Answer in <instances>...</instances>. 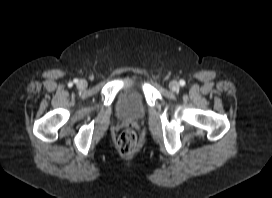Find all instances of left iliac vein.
<instances>
[{
    "label": "left iliac vein",
    "mask_w": 272,
    "mask_h": 198,
    "mask_svg": "<svg viewBox=\"0 0 272 198\" xmlns=\"http://www.w3.org/2000/svg\"><path fill=\"white\" fill-rule=\"evenodd\" d=\"M169 87L172 91H178L180 89V85L177 81L173 80L169 83Z\"/></svg>",
    "instance_id": "1"
}]
</instances>
